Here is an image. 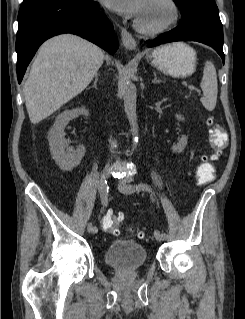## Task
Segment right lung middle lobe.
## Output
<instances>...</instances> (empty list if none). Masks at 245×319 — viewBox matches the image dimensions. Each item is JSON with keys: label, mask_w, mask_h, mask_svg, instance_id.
Returning a JSON list of instances; mask_svg holds the SVG:
<instances>
[{"label": "right lung middle lobe", "mask_w": 245, "mask_h": 319, "mask_svg": "<svg viewBox=\"0 0 245 319\" xmlns=\"http://www.w3.org/2000/svg\"><path fill=\"white\" fill-rule=\"evenodd\" d=\"M39 1H43V0H24L23 4H31V3H35V2H39Z\"/></svg>", "instance_id": "right-lung-middle-lobe-1"}]
</instances>
